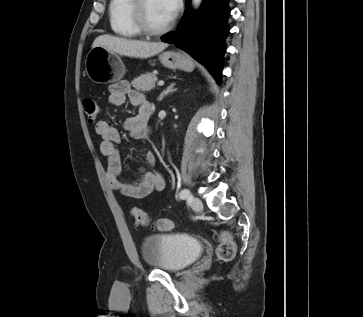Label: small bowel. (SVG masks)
I'll list each match as a JSON object with an SVG mask.
<instances>
[{"instance_id":"1","label":"small bowel","mask_w":363,"mask_h":317,"mask_svg":"<svg viewBox=\"0 0 363 317\" xmlns=\"http://www.w3.org/2000/svg\"><path fill=\"white\" fill-rule=\"evenodd\" d=\"M129 98L131 105L138 108V113L126 120L125 128L135 139H146L149 136L147 122L151 106L143 93L133 90L127 81L113 84L109 90L108 100L113 106H121ZM95 132L101 138L100 152L107 158L106 177L113 189L133 198H143L153 192H160L165 187L164 177L153 169L155 159L150 151L144 155V165L139 178L134 183L120 179L122 170L121 158L116 143L120 141L119 131L105 120L95 124Z\"/></svg>"}]
</instances>
